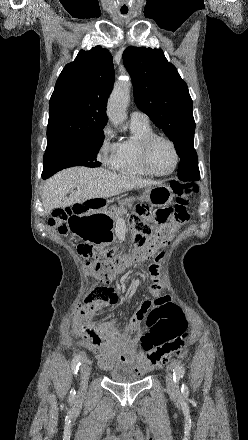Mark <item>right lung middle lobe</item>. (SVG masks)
<instances>
[{"instance_id": "1", "label": "right lung middle lobe", "mask_w": 248, "mask_h": 440, "mask_svg": "<svg viewBox=\"0 0 248 440\" xmlns=\"http://www.w3.org/2000/svg\"><path fill=\"white\" fill-rule=\"evenodd\" d=\"M104 139L103 129L86 135L47 143L42 178H49L64 168L73 166L98 167L97 154Z\"/></svg>"}]
</instances>
